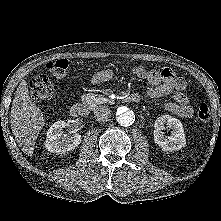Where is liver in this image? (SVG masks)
I'll list each match as a JSON object with an SVG mask.
<instances>
[{"mask_svg":"<svg viewBox=\"0 0 221 221\" xmlns=\"http://www.w3.org/2000/svg\"><path fill=\"white\" fill-rule=\"evenodd\" d=\"M10 123L18 146L28 156H32L35 141L45 125L41 110L31 101L28 85L22 80L12 102Z\"/></svg>","mask_w":221,"mask_h":221,"instance_id":"6515ba94","label":"liver"}]
</instances>
